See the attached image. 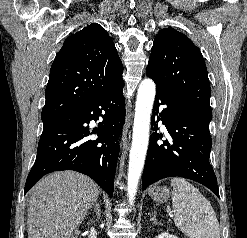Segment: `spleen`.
<instances>
[{
	"mask_svg": "<svg viewBox=\"0 0 247 238\" xmlns=\"http://www.w3.org/2000/svg\"><path fill=\"white\" fill-rule=\"evenodd\" d=\"M176 227L189 238H220L219 222L210 202L183 178L171 179Z\"/></svg>",
	"mask_w": 247,
	"mask_h": 238,
	"instance_id": "spleen-1",
	"label": "spleen"
}]
</instances>
